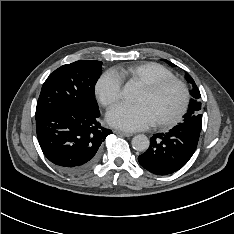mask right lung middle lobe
I'll return each instance as SVG.
<instances>
[{
	"mask_svg": "<svg viewBox=\"0 0 234 234\" xmlns=\"http://www.w3.org/2000/svg\"><path fill=\"white\" fill-rule=\"evenodd\" d=\"M101 63L80 60L56 69L42 86L36 113L58 106L90 113L97 111L94 88L101 72Z\"/></svg>",
	"mask_w": 234,
	"mask_h": 234,
	"instance_id": "dd1d6c3e",
	"label": "right lung middle lobe"
}]
</instances>
